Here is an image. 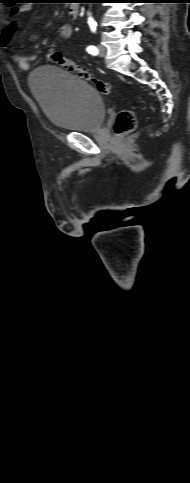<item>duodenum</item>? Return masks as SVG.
<instances>
[{
	"instance_id": "1",
	"label": "duodenum",
	"mask_w": 190,
	"mask_h": 483,
	"mask_svg": "<svg viewBox=\"0 0 190 483\" xmlns=\"http://www.w3.org/2000/svg\"><path fill=\"white\" fill-rule=\"evenodd\" d=\"M79 15V5L76 1H72L68 9V16L70 19L74 20Z\"/></svg>"
}]
</instances>
